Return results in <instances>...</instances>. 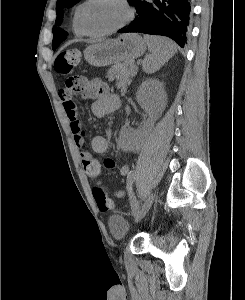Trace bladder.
Instances as JSON below:
<instances>
[{
    "label": "bladder",
    "instance_id": "1",
    "mask_svg": "<svg viewBox=\"0 0 245 300\" xmlns=\"http://www.w3.org/2000/svg\"><path fill=\"white\" fill-rule=\"evenodd\" d=\"M108 227L111 235L116 239H122L132 229L130 221L119 214H114L109 217Z\"/></svg>",
    "mask_w": 245,
    "mask_h": 300
}]
</instances>
